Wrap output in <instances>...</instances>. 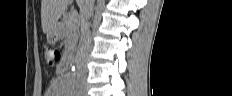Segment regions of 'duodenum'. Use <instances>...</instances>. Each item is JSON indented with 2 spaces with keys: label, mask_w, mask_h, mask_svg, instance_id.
I'll return each mask as SVG.
<instances>
[{
  "label": "duodenum",
  "mask_w": 232,
  "mask_h": 96,
  "mask_svg": "<svg viewBox=\"0 0 232 96\" xmlns=\"http://www.w3.org/2000/svg\"><path fill=\"white\" fill-rule=\"evenodd\" d=\"M75 60L73 57L69 56L66 61L61 65V68L65 69L68 66L74 65Z\"/></svg>",
  "instance_id": "410a0bca"
}]
</instances>
